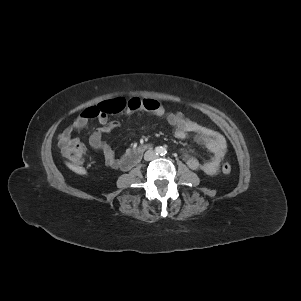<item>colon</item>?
Here are the masks:
<instances>
[{
    "label": "colon",
    "mask_w": 301,
    "mask_h": 301,
    "mask_svg": "<svg viewBox=\"0 0 301 301\" xmlns=\"http://www.w3.org/2000/svg\"><path fill=\"white\" fill-rule=\"evenodd\" d=\"M162 105L159 101L154 99H140V98H129L125 99L122 97L110 99L99 103L96 106L85 109L82 113L88 118H97L100 115H106L109 113H118L124 110L135 111V110H146L150 112H157L161 109ZM182 119H189L194 122L198 121V118L192 114L186 113L181 115ZM63 157L74 165H80L84 162L86 155V146L76 141L71 144L65 145L62 148ZM222 172L229 174L232 170L231 165L228 163L223 164Z\"/></svg>",
    "instance_id": "1"
}]
</instances>
